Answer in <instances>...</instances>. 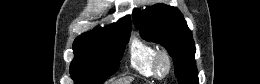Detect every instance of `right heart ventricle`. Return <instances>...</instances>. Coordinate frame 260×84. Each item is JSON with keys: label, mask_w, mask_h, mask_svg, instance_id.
<instances>
[{"label": "right heart ventricle", "mask_w": 260, "mask_h": 84, "mask_svg": "<svg viewBox=\"0 0 260 84\" xmlns=\"http://www.w3.org/2000/svg\"><path fill=\"white\" fill-rule=\"evenodd\" d=\"M157 49L150 43L135 38L130 48V65L144 77H154L153 61Z\"/></svg>", "instance_id": "1"}]
</instances>
